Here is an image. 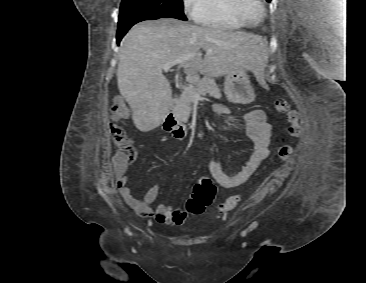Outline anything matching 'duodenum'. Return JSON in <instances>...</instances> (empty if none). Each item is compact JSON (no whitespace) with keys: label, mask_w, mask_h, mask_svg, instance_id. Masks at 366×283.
<instances>
[{"label":"duodenum","mask_w":366,"mask_h":283,"mask_svg":"<svg viewBox=\"0 0 366 283\" xmlns=\"http://www.w3.org/2000/svg\"><path fill=\"white\" fill-rule=\"evenodd\" d=\"M163 126L167 132L172 133V135L178 139H182L185 136V127L177 118L173 105H171L165 113Z\"/></svg>","instance_id":"duodenum-1"}]
</instances>
